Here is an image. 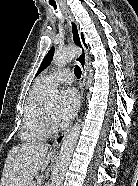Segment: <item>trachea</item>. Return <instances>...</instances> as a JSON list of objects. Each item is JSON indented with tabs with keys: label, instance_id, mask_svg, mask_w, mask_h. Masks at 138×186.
<instances>
[{
	"label": "trachea",
	"instance_id": "trachea-1",
	"mask_svg": "<svg viewBox=\"0 0 138 186\" xmlns=\"http://www.w3.org/2000/svg\"><path fill=\"white\" fill-rule=\"evenodd\" d=\"M50 5H52L55 10L57 9V5L55 2H50ZM81 74H82L81 68L78 65H76L75 67L76 77L79 79L81 77Z\"/></svg>",
	"mask_w": 138,
	"mask_h": 186
}]
</instances>
